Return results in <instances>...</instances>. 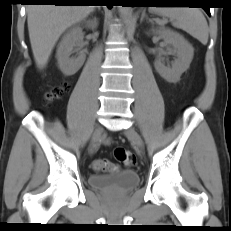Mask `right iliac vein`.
<instances>
[{
  "label": "right iliac vein",
  "instance_id": "1",
  "mask_svg": "<svg viewBox=\"0 0 231 231\" xmlns=\"http://www.w3.org/2000/svg\"><path fill=\"white\" fill-rule=\"evenodd\" d=\"M103 134V128L101 126H97L91 139L90 151H93L97 146L101 136Z\"/></svg>",
  "mask_w": 231,
  "mask_h": 231
}]
</instances>
